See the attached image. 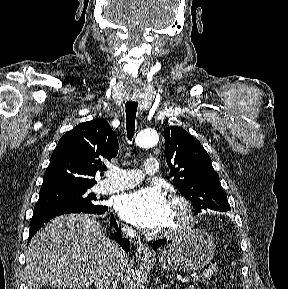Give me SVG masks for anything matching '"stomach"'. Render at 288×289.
<instances>
[{
  "label": "stomach",
  "mask_w": 288,
  "mask_h": 289,
  "mask_svg": "<svg viewBox=\"0 0 288 289\" xmlns=\"http://www.w3.org/2000/svg\"><path fill=\"white\" fill-rule=\"evenodd\" d=\"M215 253L212 237L203 229L195 228L176 236L159 256L161 268L190 272L210 263ZM153 265L154 261H146Z\"/></svg>",
  "instance_id": "0dacf381"
}]
</instances>
